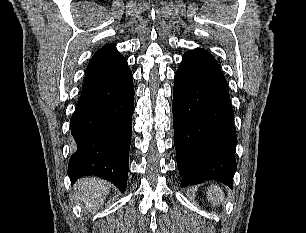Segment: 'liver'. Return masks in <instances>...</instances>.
I'll list each match as a JSON object with an SVG mask.
<instances>
[{
	"label": "liver",
	"mask_w": 306,
	"mask_h": 233,
	"mask_svg": "<svg viewBox=\"0 0 306 233\" xmlns=\"http://www.w3.org/2000/svg\"><path fill=\"white\" fill-rule=\"evenodd\" d=\"M74 190L84 208L93 214L104 204L110 185L100 178L84 177L75 184Z\"/></svg>",
	"instance_id": "6515ba94"
}]
</instances>
